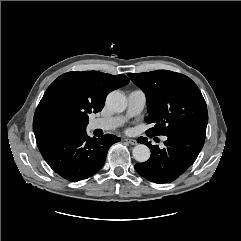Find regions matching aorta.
<instances>
[{
    "mask_svg": "<svg viewBox=\"0 0 241 241\" xmlns=\"http://www.w3.org/2000/svg\"><path fill=\"white\" fill-rule=\"evenodd\" d=\"M106 105L111 111L121 113L126 109L127 101L122 93L113 91L107 96ZM132 154L136 161L146 162L150 157V149L144 144H138L133 148Z\"/></svg>",
    "mask_w": 241,
    "mask_h": 241,
    "instance_id": "obj_1",
    "label": "aorta"
}]
</instances>
